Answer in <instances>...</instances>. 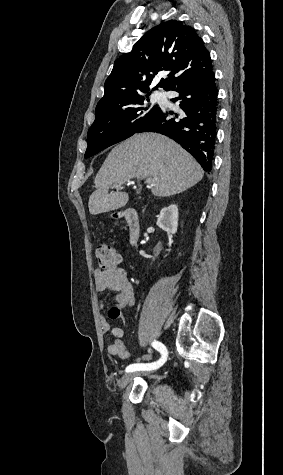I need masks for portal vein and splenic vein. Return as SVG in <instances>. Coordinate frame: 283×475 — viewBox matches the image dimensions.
I'll list each match as a JSON object with an SVG mask.
<instances>
[{
  "label": "portal vein and splenic vein",
  "instance_id": "portal-vein-and-splenic-vein-1",
  "mask_svg": "<svg viewBox=\"0 0 283 475\" xmlns=\"http://www.w3.org/2000/svg\"><path fill=\"white\" fill-rule=\"evenodd\" d=\"M147 182H148V184H149V182H151V180H147ZM152 186H153V184H152Z\"/></svg>",
  "mask_w": 283,
  "mask_h": 475
}]
</instances>
